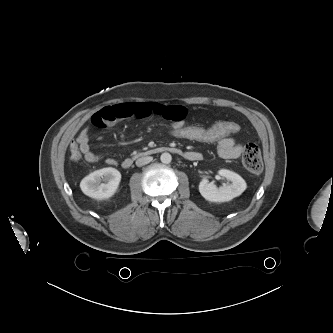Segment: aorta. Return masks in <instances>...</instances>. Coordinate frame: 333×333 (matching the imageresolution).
Here are the masks:
<instances>
[{
	"instance_id": "obj_1",
	"label": "aorta",
	"mask_w": 333,
	"mask_h": 333,
	"mask_svg": "<svg viewBox=\"0 0 333 333\" xmlns=\"http://www.w3.org/2000/svg\"><path fill=\"white\" fill-rule=\"evenodd\" d=\"M160 160H161L162 163L168 164V163L171 162L172 156H171L170 153L164 152V153L161 154Z\"/></svg>"
}]
</instances>
